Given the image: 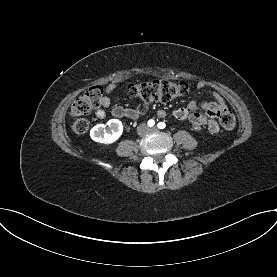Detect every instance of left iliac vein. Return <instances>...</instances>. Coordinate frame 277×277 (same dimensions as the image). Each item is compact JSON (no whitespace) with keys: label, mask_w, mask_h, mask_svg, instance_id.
Instances as JSON below:
<instances>
[{"label":"left iliac vein","mask_w":277,"mask_h":277,"mask_svg":"<svg viewBox=\"0 0 277 277\" xmlns=\"http://www.w3.org/2000/svg\"><path fill=\"white\" fill-rule=\"evenodd\" d=\"M151 130H152V131H155V130H157V128H156V127H154V128H152Z\"/></svg>","instance_id":"1"}]
</instances>
